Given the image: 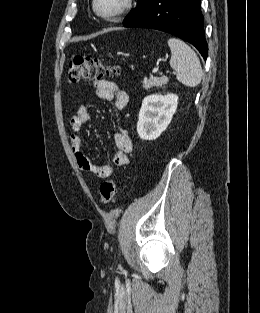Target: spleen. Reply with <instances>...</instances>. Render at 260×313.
<instances>
[{
  "label": "spleen",
  "mask_w": 260,
  "mask_h": 313,
  "mask_svg": "<svg viewBox=\"0 0 260 313\" xmlns=\"http://www.w3.org/2000/svg\"><path fill=\"white\" fill-rule=\"evenodd\" d=\"M170 66L176 72L179 82L188 87H196L202 79V68L196 53L182 40L170 38Z\"/></svg>",
  "instance_id": "3e777b00"
}]
</instances>
